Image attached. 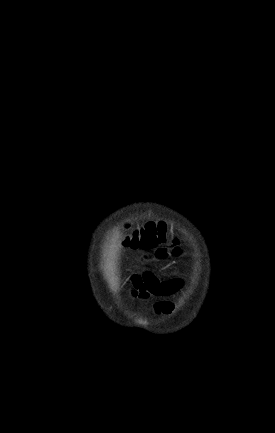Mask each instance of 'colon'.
<instances>
[{"label": "colon", "mask_w": 275, "mask_h": 433, "mask_svg": "<svg viewBox=\"0 0 275 433\" xmlns=\"http://www.w3.org/2000/svg\"><path fill=\"white\" fill-rule=\"evenodd\" d=\"M165 240L163 224L149 223L127 237L125 244L132 248H153Z\"/></svg>", "instance_id": "5ec220e1"}]
</instances>
